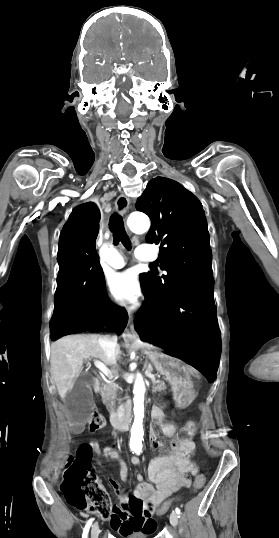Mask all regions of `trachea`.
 I'll return each mask as SVG.
<instances>
[{"label":"trachea","instance_id":"trachea-1","mask_svg":"<svg viewBox=\"0 0 279 538\" xmlns=\"http://www.w3.org/2000/svg\"><path fill=\"white\" fill-rule=\"evenodd\" d=\"M109 227L113 233L114 245L121 242L127 250H131V242L125 231L123 218L118 213H113L109 219Z\"/></svg>","mask_w":279,"mask_h":538}]
</instances>
